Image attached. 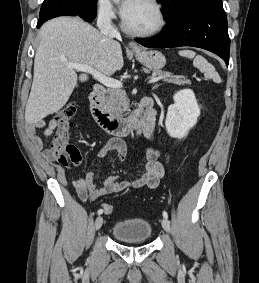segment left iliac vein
Instances as JSON below:
<instances>
[{
	"label": "left iliac vein",
	"mask_w": 259,
	"mask_h": 283,
	"mask_svg": "<svg viewBox=\"0 0 259 283\" xmlns=\"http://www.w3.org/2000/svg\"><path fill=\"white\" fill-rule=\"evenodd\" d=\"M161 225L166 232H170V223L166 218H162Z\"/></svg>",
	"instance_id": "4c4485c4"
}]
</instances>
